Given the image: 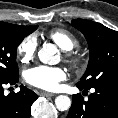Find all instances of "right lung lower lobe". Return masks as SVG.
Returning <instances> with one entry per match:
<instances>
[{"label":"right lung lower lobe","instance_id":"98d812e1","mask_svg":"<svg viewBox=\"0 0 118 118\" xmlns=\"http://www.w3.org/2000/svg\"><path fill=\"white\" fill-rule=\"evenodd\" d=\"M18 81V76L9 81H0V118H29L31 115V106L38 98L36 93L21 85L18 93L4 95V86L14 85Z\"/></svg>","mask_w":118,"mask_h":118}]
</instances>
